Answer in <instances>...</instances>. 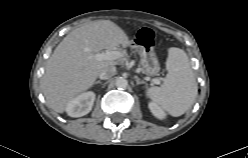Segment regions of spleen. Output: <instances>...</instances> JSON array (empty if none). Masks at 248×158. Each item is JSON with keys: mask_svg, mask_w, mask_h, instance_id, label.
Instances as JSON below:
<instances>
[{"mask_svg": "<svg viewBox=\"0 0 248 158\" xmlns=\"http://www.w3.org/2000/svg\"><path fill=\"white\" fill-rule=\"evenodd\" d=\"M168 74L160 87H151L147 96L170 115H183L194 103L197 94L196 80L186 53L171 47L166 60Z\"/></svg>", "mask_w": 248, "mask_h": 158, "instance_id": "spleen-1", "label": "spleen"}]
</instances>
